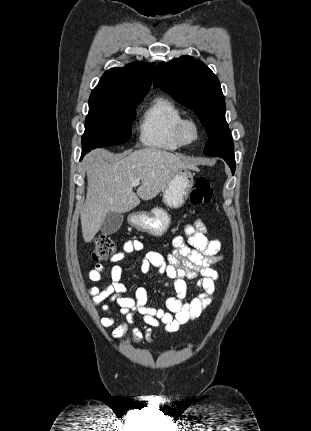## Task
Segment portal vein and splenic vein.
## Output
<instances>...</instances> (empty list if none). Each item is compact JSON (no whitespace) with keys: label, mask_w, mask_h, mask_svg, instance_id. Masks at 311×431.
I'll return each instance as SVG.
<instances>
[{"label":"portal vein and splenic vein","mask_w":311,"mask_h":431,"mask_svg":"<svg viewBox=\"0 0 311 431\" xmlns=\"http://www.w3.org/2000/svg\"><path fill=\"white\" fill-rule=\"evenodd\" d=\"M140 184H141L140 180H133L130 186H132V188H135V186H140Z\"/></svg>","instance_id":"obj_1"}]
</instances>
